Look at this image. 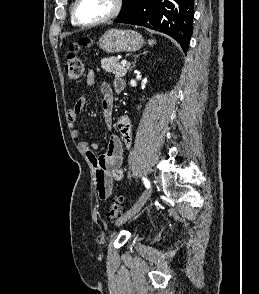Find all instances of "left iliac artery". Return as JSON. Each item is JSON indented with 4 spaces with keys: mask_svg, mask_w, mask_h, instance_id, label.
Masks as SVG:
<instances>
[{
    "mask_svg": "<svg viewBox=\"0 0 259 294\" xmlns=\"http://www.w3.org/2000/svg\"><path fill=\"white\" fill-rule=\"evenodd\" d=\"M142 179H143V182H144L145 187H146V188H149V187H150V182H149V180H148L147 178H145V177H143Z\"/></svg>",
    "mask_w": 259,
    "mask_h": 294,
    "instance_id": "44dca946",
    "label": "left iliac artery"
}]
</instances>
